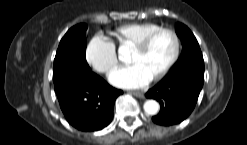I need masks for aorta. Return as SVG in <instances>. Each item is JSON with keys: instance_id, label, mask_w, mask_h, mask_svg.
Masks as SVG:
<instances>
[{"instance_id": "762f6f07", "label": "aorta", "mask_w": 247, "mask_h": 145, "mask_svg": "<svg viewBox=\"0 0 247 145\" xmlns=\"http://www.w3.org/2000/svg\"><path fill=\"white\" fill-rule=\"evenodd\" d=\"M144 111L149 115H155L159 111V104L155 100H147L144 103Z\"/></svg>"}]
</instances>
